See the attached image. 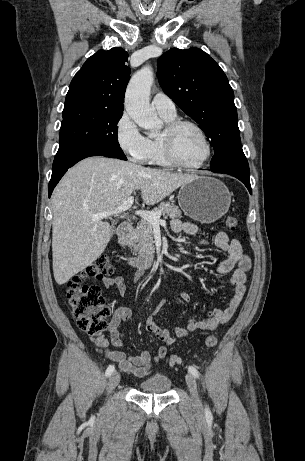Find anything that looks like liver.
<instances>
[{
	"label": "liver",
	"instance_id": "1",
	"mask_svg": "<svg viewBox=\"0 0 305 461\" xmlns=\"http://www.w3.org/2000/svg\"><path fill=\"white\" fill-rule=\"evenodd\" d=\"M194 177L104 157L76 164L51 199L55 281L66 283L105 250L112 228L103 219L91 220L90 215L115 210L137 190L144 203L154 205Z\"/></svg>",
	"mask_w": 305,
	"mask_h": 461
}]
</instances>
